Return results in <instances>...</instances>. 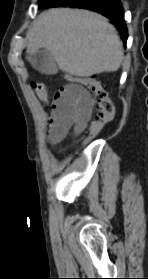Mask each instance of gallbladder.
I'll list each match as a JSON object with an SVG mask.
<instances>
[{"label": "gallbladder", "mask_w": 148, "mask_h": 279, "mask_svg": "<svg viewBox=\"0 0 148 279\" xmlns=\"http://www.w3.org/2000/svg\"><path fill=\"white\" fill-rule=\"evenodd\" d=\"M28 61L35 70L42 74L54 75L58 72L57 63L53 55L43 49L29 54Z\"/></svg>", "instance_id": "obj_1"}]
</instances>
